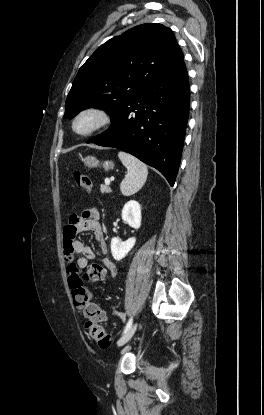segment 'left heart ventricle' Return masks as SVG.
<instances>
[{"label": "left heart ventricle", "mask_w": 264, "mask_h": 415, "mask_svg": "<svg viewBox=\"0 0 264 415\" xmlns=\"http://www.w3.org/2000/svg\"><path fill=\"white\" fill-rule=\"evenodd\" d=\"M94 123V118L91 116H85L77 124V129L80 131H85L92 126Z\"/></svg>", "instance_id": "left-heart-ventricle-1"}]
</instances>
